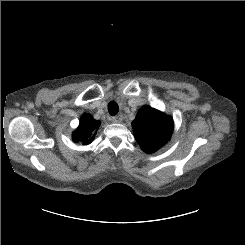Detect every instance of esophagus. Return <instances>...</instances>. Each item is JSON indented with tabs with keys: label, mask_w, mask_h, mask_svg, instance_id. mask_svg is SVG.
I'll list each match as a JSON object with an SVG mask.
<instances>
[{
	"label": "esophagus",
	"mask_w": 245,
	"mask_h": 245,
	"mask_svg": "<svg viewBox=\"0 0 245 245\" xmlns=\"http://www.w3.org/2000/svg\"><path fill=\"white\" fill-rule=\"evenodd\" d=\"M123 120V115L122 114H117L116 116L112 117V121L114 123H120Z\"/></svg>",
	"instance_id": "34e87169"
}]
</instances>
